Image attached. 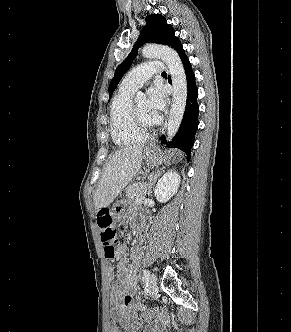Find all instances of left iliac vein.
Here are the masks:
<instances>
[{"label":"left iliac vein","mask_w":291,"mask_h":332,"mask_svg":"<svg viewBox=\"0 0 291 332\" xmlns=\"http://www.w3.org/2000/svg\"><path fill=\"white\" fill-rule=\"evenodd\" d=\"M157 289V277L154 273H151L148 282H147V291L149 295H152L156 292Z\"/></svg>","instance_id":"4c4485c4"}]
</instances>
